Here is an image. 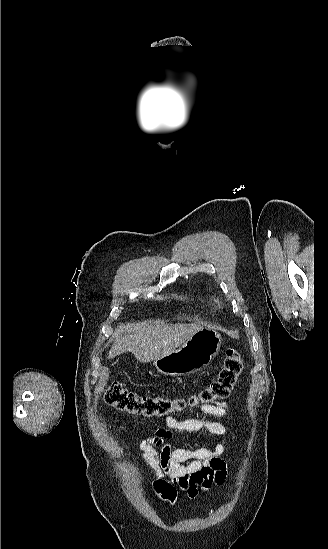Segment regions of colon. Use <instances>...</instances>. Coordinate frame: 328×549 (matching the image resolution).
<instances>
[{
  "label": "colon",
  "instance_id": "colon-1",
  "mask_svg": "<svg viewBox=\"0 0 328 549\" xmlns=\"http://www.w3.org/2000/svg\"><path fill=\"white\" fill-rule=\"evenodd\" d=\"M243 369V358L234 348L227 350L224 365L216 379L211 381L198 394L189 398H167L138 395L125 389L119 383H112L104 394L105 401L112 407L143 416H166L188 407L212 405L225 399L231 392ZM155 490L171 503L176 499L173 483L163 479L154 482Z\"/></svg>",
  "mask_w": 328,
  "mask_h": 549
}]
</instances>
